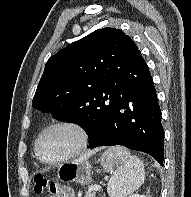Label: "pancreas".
Instances as JSON below:
<instances>
[{
    "mask_svg": "<svg viewBox=\"0 0 191 197\" xmlns=\"http://www.w3.org/2000/svg\"><path fill=\"white\" fill-rule=\"evenodd\" d=\"M85 197H95L94 193L86 192Z\"/></svg>",
    "mask_w": 191,
    "mask_h": 197,
    "instance_id": "pancreas-1",
    "label": "pancreas"
}]
</instances>
